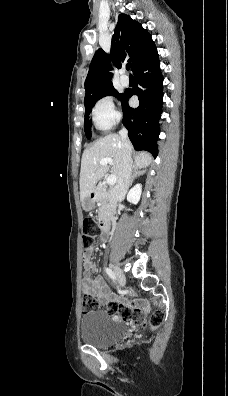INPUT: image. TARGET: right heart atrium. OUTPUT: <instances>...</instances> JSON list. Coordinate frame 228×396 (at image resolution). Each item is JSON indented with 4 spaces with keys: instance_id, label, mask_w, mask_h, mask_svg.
<instances>
[{
    "instance_id": "right-heart-atrium-1",
    "label": "right heart atrium",
    "mask_w": 228,
    "mask_h": 396,
    "mask_svg": "<svg viewBox=\"0 0 228 396\" xmlns=\"http://www.w3.org/2000/svg\"><path fill=\"white\" fill-rule=\"evenodd\" d=\"M91 116L94 125L100 130L110 129L121 117L110 95H104L95 102Z\"/></svg>"
}]
</instances>
